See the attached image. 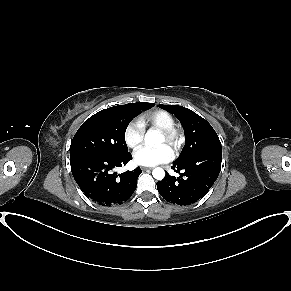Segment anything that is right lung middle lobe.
Returning a JSON list of instances; mask_svg holds the SVG:
<instances>
[{
	"instance_id": "obj_1",
	"label": "right lung middle lobe",
	"mask_w": 291,
	"mask_h": 291,
	"mask_svg": "<svg viewBox=\"0 0 291 291\" xmlns=\"http://www.w3.org/2000/svg\"><path fill=\"white\" fill-rule=\"evenodd\" d=\"M154 103L136 102L101 110L87 119L76 132L70 158L81 155L119 156L128 153L125 131L130 121Z\"/></svg>"
}]
</instances>
